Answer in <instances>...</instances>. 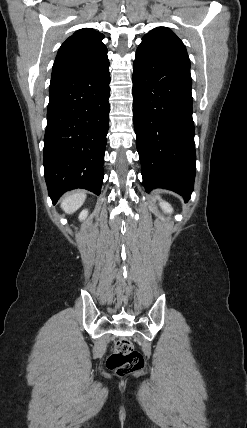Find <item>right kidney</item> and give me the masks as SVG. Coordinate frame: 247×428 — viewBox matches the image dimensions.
<instances>
[{"mask_svg": "<svg viewBox=\"0 0 247 428\" xmlns=\"http://www.w3.org/2000/svg\"><path fill=\"white\" fill-rule=\"evenodd\" d=\"M88 215V211L87 210H83L80 215H79V220H84Z\"/></svg>", "mask_w": 247, "mask_h": 428, "instance_id": "1", "label": "right kidney"}]
</instances>
